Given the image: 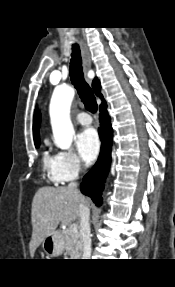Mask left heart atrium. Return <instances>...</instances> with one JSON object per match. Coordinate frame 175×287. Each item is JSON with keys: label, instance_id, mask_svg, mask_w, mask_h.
Masks as SVG:
<instances>
[{"label": "left heart atrium", "instance_id": "39dd6f15", "mask_svg": "<svg viewBox=\"0 0 175 287\" xmlns=\"http://www.w3.org/2000/svg\"><path fill=\"white\" fill-rule=\"evenodd\" d=\"M76 146L80 156L87 162H92L98 155L100 141L93 129H85L78 134Z\"/></svg>", "mask_w": 175, "mask_h": 287}]
</instances>
